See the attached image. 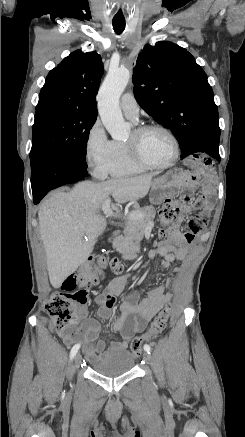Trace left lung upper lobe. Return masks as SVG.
Listing matches in <instances>:
<instances>
[{
	"mask_svg": "<svg viewBox=\"0 0 245 437\" xmlns=\"http://www.w3.org/2000/svg\"><path fill=\"white\" fill-rule=\"evenodd\" d=\"M132 81L136 101L174 134L181 158L202 148L218 149L220 128L213 91L186 49L167 41L145 45Z\"/></svg>",
	"mask_w": 245,
	"mask_h": 437,
	"instance_id": "1",
	"label": "left lung upper lobe"
}]
</instances>
